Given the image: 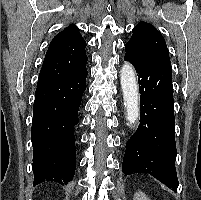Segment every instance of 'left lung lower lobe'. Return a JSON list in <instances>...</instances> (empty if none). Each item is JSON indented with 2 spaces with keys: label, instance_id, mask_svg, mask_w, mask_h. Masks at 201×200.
<instances>
[{
  "label": "left lung lower lobe",
  "instance_id": "obj_1",
  "mask_svg": "<svg viewBox=\"0 0 201 200\" xmlns=\"http://www.w3.org/2000/svg\"><path fill=\"white\" fill-rule=\"evenodd\" d=\"M140 90V124L126 144L122 171L127 175L148 173L168 188L179 185L175 160V117L171 64H137Z\"/></svg>",
  "mask_w": 201,
  "mask_h": 200
}]
</instances>
